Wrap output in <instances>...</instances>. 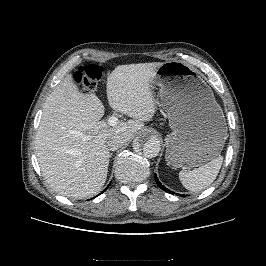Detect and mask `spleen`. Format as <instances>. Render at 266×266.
<instances>
[{
	"label": "spleen",
	"instance_id": "1",
	"mask_svg": "<svg viewBox=\"0 0 266 266\" xmlns=\"http://www.w3.org/2000/svg\"><path fill=\"white\" fill-rule=\"evenodd\" d=\"M222 163L223 157L218 156L199 168L190 171L181 170L179 172V179L187 190L192 192L201 191L207 188L216 179Z\"/></svg>",
	"mask_w": 266,
	"mask_h": 266
}]
</instances>
